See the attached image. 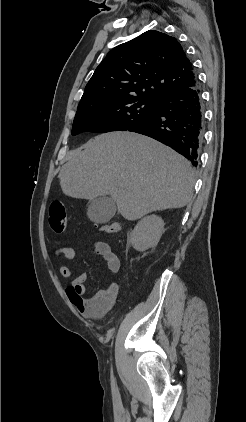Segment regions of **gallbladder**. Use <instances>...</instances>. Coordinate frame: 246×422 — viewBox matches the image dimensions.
Wrapping results in <instances>:
<instances>
[{
  "label": "gallbladder",
  "mask_w": 246,
  "mask_h": 422,
  "mask_svg": "<svg viewBox=\"0 0 246 422\" xmlns=\"http://www.w3.org/2000/svg\"><path fill=\"white\" fill-rule=\"evenodd\" d=\"M117 210L113 198L100 196L89 201L87 215L94 223H107L115 215Z\"/></svg>",
  "instance_id": "1"
}]
</instances>
